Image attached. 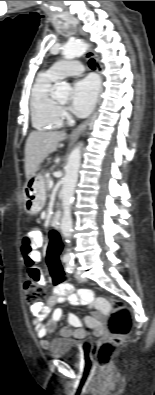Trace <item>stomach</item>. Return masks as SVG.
Wrapping results in <instances>:
<instances>
[{
  "instance_id": "stomach-1",
  "label": "stomach",
  "mask_w": 155,
  "mask_h": 395,
  "mask_svg": "<svg viewBox=\"0 0 155 395\" xmlns=\"http://www.w3.org/2000/svg\"><path fill=\"white\" fill-rule=\"evenodd\" d=\"M24 208L30 214H37L45 204L46 192L44 180L40 174L34 173L23 189Z\"/></svg>"
}]
</instances>
